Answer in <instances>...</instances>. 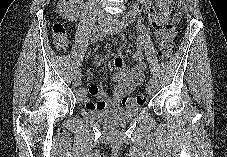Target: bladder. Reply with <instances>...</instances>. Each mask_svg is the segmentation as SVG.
Listing matches in <instances>:
<instances>
[{
  "label": "bladder",
  "mask_w": 227,
  "mask_h": 157,
  "mask_svg": "<svg viewBox=\"0 0 227 157\" xmlns=\"http://www.w3.org/2000/svg\"><path fill=\"white\" fill-rule=\"evenodd\" d=\"M140 113L141 108L136 106H113L90 110L93 118L107 126L125 124L139 116Z\"/></svg>",
  "instance_id": "31cf9c89"
}]
</instances>
